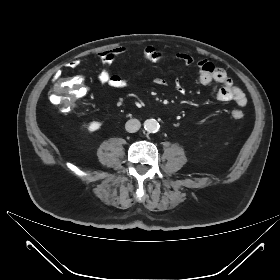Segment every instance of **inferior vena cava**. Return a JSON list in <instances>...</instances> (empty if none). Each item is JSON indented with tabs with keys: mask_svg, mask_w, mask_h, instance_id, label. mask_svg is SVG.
<instances>
[{
	"mask_svg": "<svg viewBox=\"0 0 280 280\" xmlns=\"http://www.w3.org/2000/svg\"><path fill=\"white\" fill-rule=\"evenodd\" d=\"M141 127V123L138 119H130L125 124V129L129 133L137 132Z\"/></svg>",
	"mask_w": 280,
	"mask_h": 280,
	"instance_id": "602c4592",
	"label": "inferior vena cava"
}]
</instances>
